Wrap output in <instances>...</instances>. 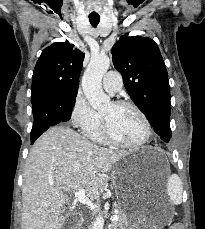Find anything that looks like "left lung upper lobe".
Segmentation results:
<instances>
[{"label": "left lung upper lobe", "mask_w": 205, "mask_h": 229, "mask_svg": "<svg viewBox=\"0 0 205 229\" xmlns=\"http://www.w3.org/2000/svg\"><path fill=\"white\" fill-rule=\"evenodd\" d=\"M112 60L133 102L161 139L168 142L171 137L170 87L157 44L147 37L123 36L112 48Z\"/></svg>", "instance_id": "left-lung-upper-lobe-1"}]
</instances>
